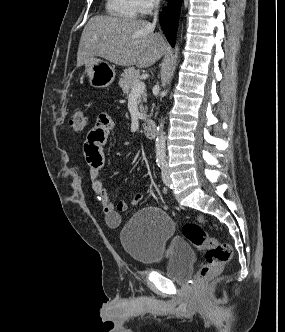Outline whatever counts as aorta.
I'll return each mask as SVG.
<instances>
[{
    "label": "aorta",
    "instance_id": "1",
    "mask_svg": "<svg viewBox=\"0 0 285 332\" xmlns=\"http://www.w3.org/2000/svg\"><path fill=\"white\" fill-rule=\"evenodd\" d=\"M178 52H179V48H178V45H176L175 49H174V56L172 57V68L170 69L169 78H171L174 74V71H175V68L177 65ZM165 93H167V91ZM163 128H164V123L162 121L157 128V138H156V142H155L157 159H164V157H165V140H166V138L164 135Z\"/></svg>",
    "mask_w": 285,
    "mask_h": 332
}]
</instances>
